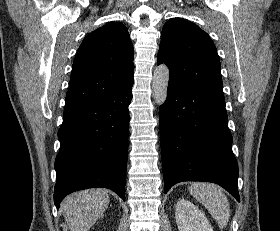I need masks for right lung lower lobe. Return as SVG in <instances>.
Returning a JSON list of instances; mask_svg holds the SVG:
<instances>
[{
    "label": "right lung lower lobe",
    "mask_w": 280,
    "mask_h": 231,
    "mask_svg": "<svg viewBox=\"0 0 280 231\" xmlns=\"http://www.w3.org/2000/svg\"><path fill=\"white\" fill-rule=\"evenodd\" d=\"M131 90L64 110L55 160L57 208L69 193L94 187L125 201Z\"/></svg>",
    "instance_id": "1"
}]
</instances>
